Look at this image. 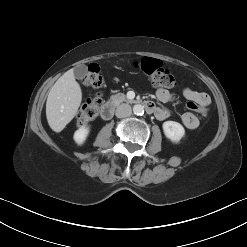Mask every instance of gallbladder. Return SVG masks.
<instances>
[{"mask_svg":"<svg viewBox=\"0 0 247 247\" xmlns=\"http://www.w3.org/2000/svg\"><path fill=\"white\" fill-rule=\"evenodd\" d=\"M87 73V67L85 65H79L74 69V75L77 78L83 77Z\"/></svg>","mask_w":247,"mask_h":247,"instance_id":"gallbladder-1","label":"gallbladder"}]
</instances>
